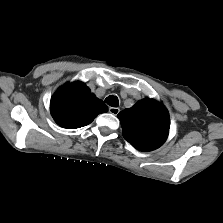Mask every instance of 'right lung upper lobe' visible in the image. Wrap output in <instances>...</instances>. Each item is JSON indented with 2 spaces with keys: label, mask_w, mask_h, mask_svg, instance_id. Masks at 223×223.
Instances as JSON below:
<instances>
[{
  "label": "right lung upper lobe",
  "mask_w": 223,
  "mask_h": 223,
  "mask_svg": "<svg viewBox=\"0 0 223 223\" xmlns=\"http://www.w3.org/2000/svg\"><path fill=\"white\" fill-rule=\"evenodd\" d=\"M107 110L105 103L96 98L82 82L61 87L50 103V111L56 123L68 129L86 126Z\"/></svg>",
  "instance_id": "obj_1"
}]
</instances>
